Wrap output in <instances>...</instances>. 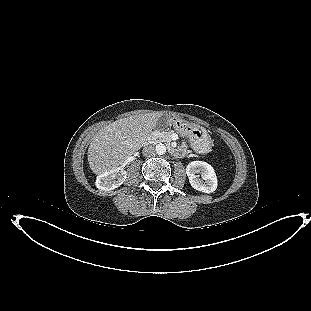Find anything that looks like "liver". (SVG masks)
<instances>
[{
	"instance_id": "6515ba94",
	"label": "liver",
	"mask_w": 311,
	"mask_h": 311,
	"mask_svg": "<svg viewBox=\"0 0 311 311\" xmlns=\"http://www.w3.org/2000/svg\"><path fill=\"white\" fill-rule=\"evenodd\" d=\"M161 115L153 112L130 116L100 129L88 148V162L92 172L100 175L115 169L138 151Z\"/></svg>"
}]
</instances>
